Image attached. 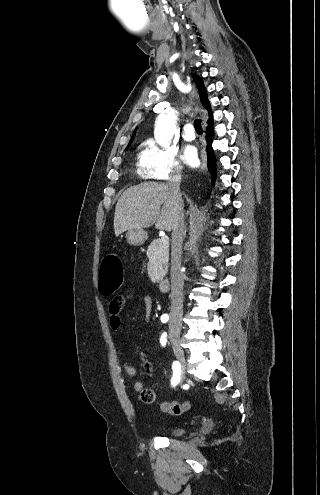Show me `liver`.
Listing matches in <instances>:
<instances>
[{"mask_svg":"<svg viewBox=\"0 0 320 495\" xmlns=\"http://www.w3.org/2000/svg\"><path fill=\"white\" fill-rule=\"evenodd\" d=\"M177 207L168 185L150 182L130 187L115 207V235L118 237L127 230L148 228L153 224L156 229L169 232Z\"/></svg>","mask_w":320,"mask_h":495,"instance_id":"liver-1","label":"liver"}]
</instances>
